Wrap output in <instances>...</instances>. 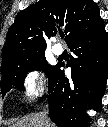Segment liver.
Returning a JSON list of instances; mask_svg holds the SVG:
<instances>
[{
    "instance_id": "liver-1",
    "label": "liver",
    "mask_w": 108,
    "mask_h": 127,
    "mask_svg": "<svg viewBox=\"0 0 108 127\" xmlns=\"http://www.w3.org/2000/svg\"><path fill=\"white\" fill-rule=\"evenodd\" d=\"M11 127H55V125L43 114L31 113L18 120Z\"/></svg>"
}]
</instances>
